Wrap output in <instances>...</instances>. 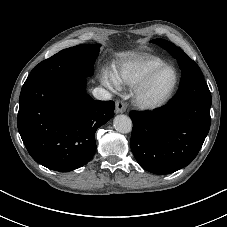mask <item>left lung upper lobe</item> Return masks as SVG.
Instances as JSON below:
<instances>
[{"mask_svg": "<svg viewBox=\"0 0 227 227\" xmlns=\"http://www.w3.org/2000/svg\"><path fill=\"white\" fill-rule=\"evenodd\" d=\"M152 42L176 58L182 70L179 90L169 103L193 102L211 105V93L199 66L173 43L163 39H155Z\"/></svg>", "mask_w": 227, "mask_h": 227, "instance_id": "obj_1", "label": "left lung upper lobe"}]
</instances>
